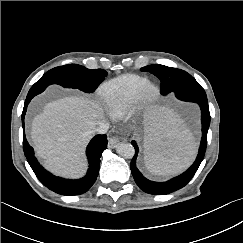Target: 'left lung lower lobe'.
<instances>
[{
    "mask_svg": "<svg viewBox=\"0 0 243 243\" xmlns=\"http://www.w3.org/2000/svg\"><path fill=\"white\" fill-rule=\"evenodd\" d=\"M175 95L179 100L195 102L199 104L201 108L202 138L199 152L195 162L183 174L174 177L166 182H154L146 179L136 167V158L139 149L136 142L132 141L131 144L135 148V155L132 158L130 169L134 180L139 188L149 194L165 195L184 187L196 173L205 155L207 145V132L210 125V113L206 93L204 89L199 85L178 91L175 93Z\"/></svg>",
    "mask_w": 243,
    "mask_h": 243,
    "instance_id": "obj_1",
    "label": "left lung lower lobe"
}]
</instances>
